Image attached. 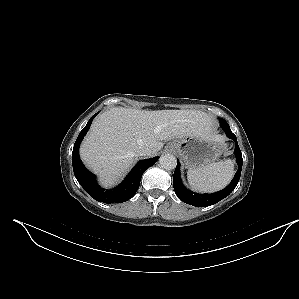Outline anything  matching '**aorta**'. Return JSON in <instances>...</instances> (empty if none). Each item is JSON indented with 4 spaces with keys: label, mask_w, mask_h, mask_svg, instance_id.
Returning a JSON list of instances; mask_svg holds the SVG:
<instances>
[{
    "label": "aorta",
    "mask_w": 299,
    "mask_h": 299,
    "mask_svg": "<svg viewBox=\"0 0 299 299\" xmlns=\"http://www.w3.org/2000/svg\"><path fill=\"white\" fill-rule=\"evenodd\" d=\"M159 164L165 170H173L177 165V160L174 155L165 154L160 157Z\"/></svg>",
    "instance_id": "1"
}]
</instances>
